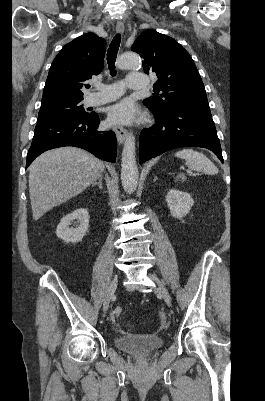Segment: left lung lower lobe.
Wrapping results in <instances>:
<instances>
[{"instance_id": "obj_1", "label": "left lung lower lobe", "mask_w": 265, "mask_h": 401, "mask_svg": "<svg viewBox=\"0 0 265 401\" xmlns=\"http://www.w3.org/2000/svg\"><path fill=\"white\" fill-rule=\"evenodd\" d=\"M153 113L155 125L144 129L139 137L140 163L179 147L207 148L223 162L209 106L190 104Z\"/></svg>"}]
</instances>
